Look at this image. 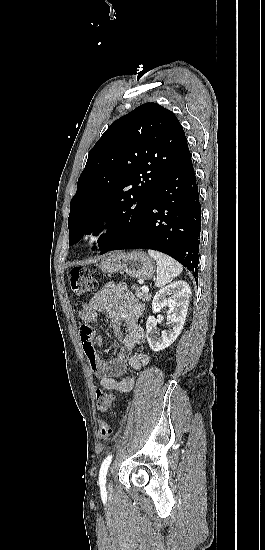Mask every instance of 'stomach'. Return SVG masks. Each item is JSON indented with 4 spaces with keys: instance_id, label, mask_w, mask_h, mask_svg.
I'll return each mask as SVG.
<instances>
[{
    "instance_id": "obj_1",
    "label": "stomach",
    "mask_w": 265,
    "mask_h": 550,
    "mask_svg": "<svg viewBox=\"0 0 265 550\" xmlns=\"http://www.w3.org/2000/svg\"><path fill=\"white\" fill-rule=\"evenodd\" d=\"M105 273H126L137 279H150L154 274L153 260L144 252L115 251L106 254L99 264Z\"/></svg>"
}]
</instances>
